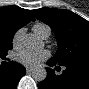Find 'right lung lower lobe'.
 Segmentation results:
<instances>
[{
  "label": "right lung lower lobe",
  "mask_w": 89,
  "mask_h": 89,
  "mask_svg": "<svg viewBox=\"0 0 89 89\" xmlns=\"http://www.w3.org/2000/svg\"><path fill=\"white\" fill-rule=\"evenodd\" d=\"M25 74L24 66L17 62H9L6 68L0 69V89H15L20 78Z\"/></svg>",
  "instance_id": "right-lung-lower-lobe-1"
}]
</instances>
